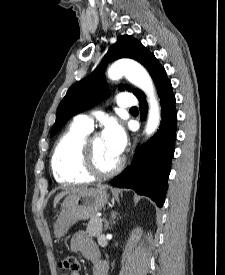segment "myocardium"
Here are the masks:
<instances>
[{
    "label": "myocardium",
    "mask_w": 225,
    "mask_h": 275,
    "mask_svg": "<svg viewBox=\"0 0 225 275\" xmlns=\"http://www.w3.org/2000/svg\"><path fill=\"white\" fill-rule=\"evenodd\" d=\"M95 137H98V136L87 135L82 141L80 146V166L82 170L91 178H98V179L110 178L121 171L124 165V160L119 159L116 166L109 171L99 170L95 164L94 155L91 149V142Z\"/></svg>",
    "instance_id": "f54148a6"
}]
</instances>
